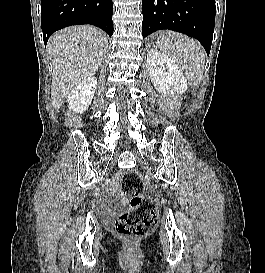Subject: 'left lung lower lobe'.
I'll list each match as a JSON object with an SVG mask.
<instances>
[{
  "label": "left lung lower lobe",
  "mask_w": 265,
  "mask_h": 273,
  "mask_svg": "<svg viewBox=\"0 0 265 273\" xmlns=\"http://www.w3.org/2000/svg\"><path fill=\"white\" fill-rule=\"evenodd\" d=\"M142 35L169 29L196 38L209 55L215 23V0H142Z\"/></svg>",
  "instance_id": "0a47b994"
}]
</instances>
